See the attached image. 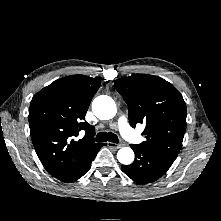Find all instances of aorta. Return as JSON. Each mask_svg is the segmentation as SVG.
Wrapping results in <instances>:
<instances>
[{"instance_id":"obj_1","label":"aorta","mask_w":221,"mask_h":221,"mask_svg":"<svg viewBox=\"0 0 221 221\" xmlns=\"http://www.w3.org/2000/svg\"><path fill=\"white\" fill-rule=\"evenodd\" d=\"M92 110L101 120L112 119L117 112L114 100L107 95L96 97L92 102ZM117 159L121 164L130 165L134 161V152L129 147H123L118 151Z\"/></svg>"}]
</instances>
